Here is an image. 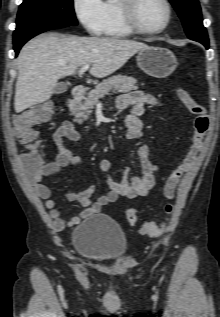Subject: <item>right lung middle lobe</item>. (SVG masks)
Returning a JSON list of instances; mask_svg holds the SVG:
<instances>
[{"label": "right lung middle lobe", "mask_w": 220, "mask_h": 317, "mask_svg": "<svg viewBox=\"0 0 220 317\" xmlns=\"http://www.w3.org/2000/svg\"><path fill=\"white\" fill-rule=\"evenodd\" d=\"M14 38L47 24L77 25L72 0H24L20 5Z\"/></svg>", "instance_id": "obj_1"}]
</instances>
